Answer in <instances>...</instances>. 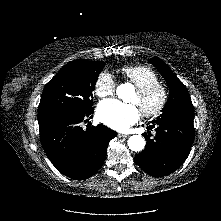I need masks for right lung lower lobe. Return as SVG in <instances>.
Wrapping results in <instances>:
<instances>
[{"label":"right lung lower lobe","mask_w":221,"mask_h":221,"mask_svg":"<svg viewBox=\"0 0 221 221\" xmlns=\"http://www.w3.org/2000/svg\"><path fill=\"white\" fill-rule=\"evenodd\" d=\"M93 113L61 114L39 121L40 139L51 163L65 176L83 180L98 171L109 141L117 133L103 124L83 130L80 126Z\"/></svg>","instance_id":"1"}]
</instances>
